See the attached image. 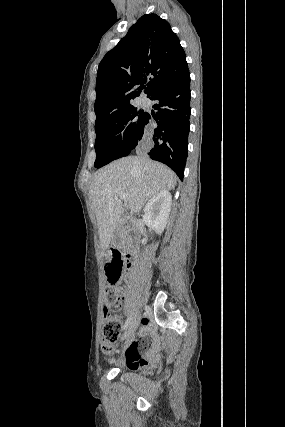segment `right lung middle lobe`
Returning <instances> with one entry per match:
<instances>
[{
    "label": "right lung middle lobe",
    "mask_w": 285,
    "mask_h": 427,
    "mask_svg": "<svg viewBox=\"0 0 285 427\" xmlns=\"http://www.w3.org/2000/svg\"><path fill=\"white\" fill-rule=\"evenodd\" d=\"M146 116V112L131 105L95 125L94 166L100 168L113 160L127 156L140 141Z\"/></svg>",
    "instance_id": "right-lung-middle-lobe-1"
}]
</instances>
